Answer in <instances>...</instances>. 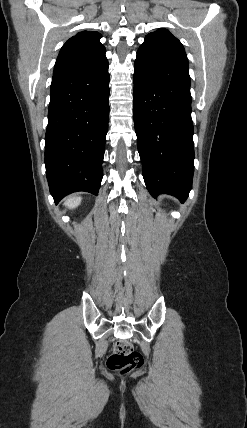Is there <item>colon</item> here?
<instances>
[{"mask_svg": "<svg viewBox=\"0 0 247 428\" xmlns=\"http://www.w3.org/2000/svg\"><path fill=\"white\" fill-rule=\"evenodd\" d=\"M106 363L110 370L124 374L141 367L143 357L130 342L124 340L117 342Z\"/></svg>", "mask_w": 247, "mask_h": 428, "instance_id": "obj_1", "label": "colon"}]
</instances>
